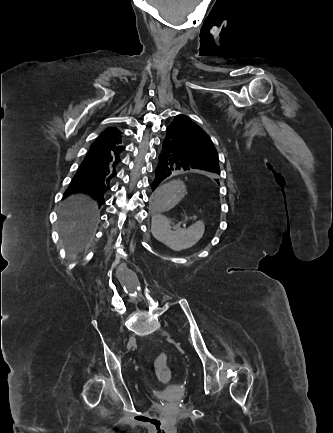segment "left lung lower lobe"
Wrapping results in <instances>:
<instances>
[{"label": "left lung lower lobe", "instance_id": "1", "mask_svg": "<svg viewBox=\"0 0 333 433\" xmlns=\"http://www.w3.org/2000/svg\"><path fill=\"white\" fill-rule=\"evenodd\" d=\"M158 158L159 163L155 170V179L151 184L152 191L155 190V193L161 187L164 179L177 171L205 170L218 174L213 169L187 156L180 150L172 148L168 139L163 140L162 150Z\"/></svg>", "mask_w": 333, "mask_h": 433}]
</instances>
